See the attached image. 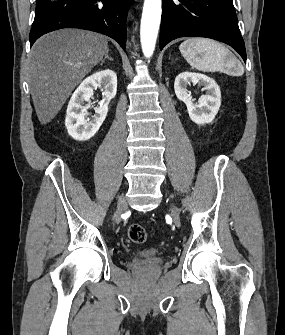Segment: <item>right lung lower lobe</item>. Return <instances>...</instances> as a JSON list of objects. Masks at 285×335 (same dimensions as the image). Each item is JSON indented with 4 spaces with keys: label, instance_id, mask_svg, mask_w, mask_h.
<instances>
[{
    "label": "right lung lower lobe",
    "instance_id": "obj_1",
    "mask_svg": "<svg viewBox=\"0 0 285 335\" xmlns=\"http://www.w3.org/2000/svg\"><path fill=\"white\" fill-rule=\"evenodd\" d=\"M133 0H36L30 47L54 30L79 27L105 34L125 49L126 16Z\"/></svg>",
    "mask_w": 285,
    "mask_h": 335
}]
</instances>
